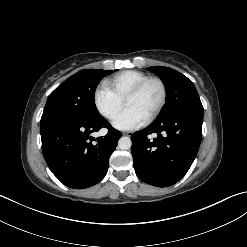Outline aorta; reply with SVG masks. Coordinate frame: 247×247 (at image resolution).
Masks as SVG:
<instances>
[{
	"label": "aorta",
	"instance_id": "762f6f07",
	"mask_svg": "<svg viewBox=\"0 0 247 247\" xmlns=\"http://www.w3.org/2000/svg\"><path fill=\"white\" fill-rule=\"evenodd\" d=\"M132 146V141L129 137H121L118 141V147L122 150H128Z\"/></svg>",
	"mask_w": 247,
	"mask_h": 247
}]
</instances>
